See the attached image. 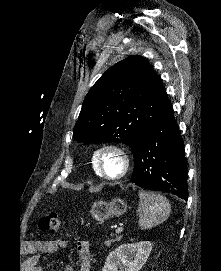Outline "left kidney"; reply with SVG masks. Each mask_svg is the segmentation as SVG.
<instances>
[{
    "instance_id": "1",
    "label": "left kidney",
    "mask_w": 221,
    "mask_h": 271,
    "mask_svg": "<svg viewBox=\"0 0 221 271\" xmlns=\"http://www.w3.org/2000/svg\"><path fill=\"white\" fill-rule=\"evenodd\" d=\"M151 249V241L122 243L107 255L102 271H140Z\"/></svg>"
}]
</instances>
